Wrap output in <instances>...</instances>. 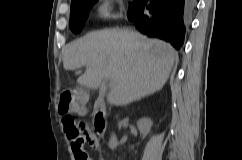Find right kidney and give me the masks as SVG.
Listing matches in <instances>:
<instances>
[{
  "instance_id": "1",
  "label": "right kidney",
  "mask_w": 242,
  "mask_h": 160,
  "mask_svg": "<svg viewBox=\"0 0 242 160\" xmlns=\"http://www.w3.org/2000/svg\"><path fill=\"white\" fill-rule=\"evenodd\" d=\"M151 126H152L151 119L146 118V117L139 119L138 122H137V127H138L140 133L144 137L150 132ZM108 145H109V148L112 149V150H114L117 147L118 141H117L115 134H113L111 136V139H110Z\"/></svg>"
}]
</instances>
